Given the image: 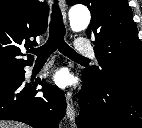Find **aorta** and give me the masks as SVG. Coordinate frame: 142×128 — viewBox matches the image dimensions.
<instances>
[{
  "label": "aorta",
  "instance_id": "aorta-1",
  "mask_svg": "<svg viewBox=\"0 0 142 128\" xmlns=\"http://www.w3.org/2000/svg\"><path fill=\"white\" fill-rule=\"evenodd\" d=\"M69 19L73 31H82L88 27L91 15L86 7H75L69 12Z\"/></svg>",
  "mask_w": 142,
  "mask_h": 128
}]
</instances>
